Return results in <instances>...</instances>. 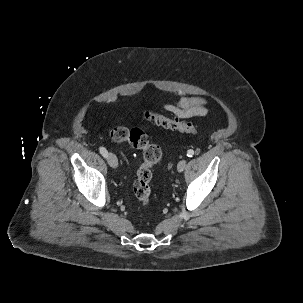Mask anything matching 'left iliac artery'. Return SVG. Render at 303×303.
Returning <instances> with one entry per match:
<instances>
[{
  "label": "left iliac artery",
  "instance_id": "left-iliac-artery-1",
  "mask_svg": "<svg viewBox=\"0 0 303 303\" xmlns=\"http://www.w3.org/2000/svg\"><path fill=\"white\" fill-rule=\"evenodd\" d=\"M193 155H194V151L193 150L190 149V150L187 151V156L188 157H192Z\"/></svg>",
  "mask_w": 303,
  "mask_h": 303
}]
</instances>
